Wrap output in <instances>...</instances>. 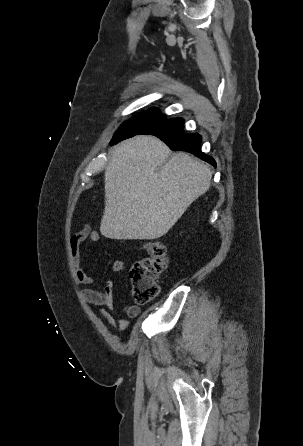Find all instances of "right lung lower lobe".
<instances>
[{"label":"right lung lower lobe","instance_id":"1","mask_svg":"<svg viewBox=\"0 0 303 446\" xmlns=\"http://www.w3.org/2000/svg\"><path fill=\"white\" fill-rule=\"evenodd\" d=\"M183 127L184 120L181 118H164L140 134H151L157 136L164 141L171 150L186 151L195 154L202 160L216 166L215 160L212 157L202 153L200 149L202 140L201 135L197 133L186 134L183 131Z\"/></svg>","mask_w":303,"mask_h":446}]
</instances>
